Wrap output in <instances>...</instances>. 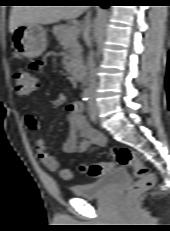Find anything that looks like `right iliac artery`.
Instances as JSON below:
<instances>
[{"label":"right iliac artery","mask_w":170,"mask_h":231,"mask_svg":"<svg viewBox=\"0 0 170 231\" xmlns=\"http://www.w3.org/2000/svg\"><path fill=\"white\" fill-rule=\"evenodd\" d=\"M81 98H82L83 101H88L89 98H90V92H89V90H87V89L84 90L83 93H82V95H81Z\"/></svg>","instance_id":"right-iliac-artery-1"}]
</instances>
